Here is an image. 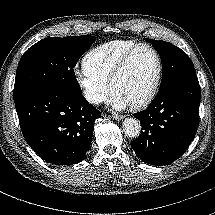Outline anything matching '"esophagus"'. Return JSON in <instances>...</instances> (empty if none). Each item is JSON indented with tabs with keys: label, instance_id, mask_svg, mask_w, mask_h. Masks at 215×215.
<instances>
[{
	"label": "esophagus",
	"instance_id": "esophagus-1",
	"mask_svg": "<svg viewBox=\"0 0 215 215\" xmlns=\"http://www.w3.org/2000/svg\"><path fill=\"white\" fill-rule=\"evenodd\" d=\"M124 117H125L124 115H116V116H113V119L119 121V120L123 119Z\"/></svg>",
	"mask_w": 215,
	"mask_h": 215
}]
</instances>
